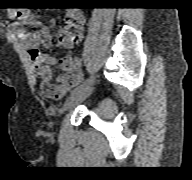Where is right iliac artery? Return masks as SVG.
<instances>
[{
	"label": "right iliac artery",
	"mask_w": 192,
	"mask_h": 180,
	"mask_svg": "<svg viewBox=\"0 0 192 180\" xmlns=\"http://www.w3.org/2000/svg\"><path fill=\"white\" fill-rule=\"evenodd\" d=\"M93 82V78H89L86 81H84L80 86L76 87L72 92L71 95L76 94L77 92L81 91L82 89H84L85 87L89 86L90 84H92Z\"/></svg>",
	"instance_id": "right-iliac-artery-1"
}]
</instances>
